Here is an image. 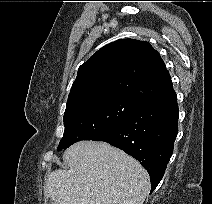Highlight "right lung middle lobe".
Listing matches in <instances>:
<instances>
[{
  "instance_id": "dd1d6c3e",
  "label": "right lung middle lobe",
  "mask_w": 212,
  "mask_h": 204,
  "mask_svg": "<svg viewBox=\"0 0 212 204\" xmlns=\"http://www.w3.org/2000/svg\"><path fill=\"white\" fill-rule=\"evenodd\" d=\"M139 104L127 98L110 96L66 107L65 131L57 151L78 141L102 136L124 121Z\"/></svg>"
}]
</instances>
